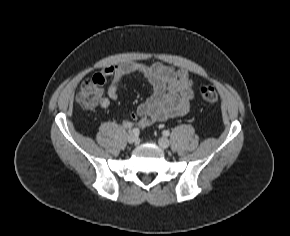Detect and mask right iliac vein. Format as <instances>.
I'll list each match as a JSON object with an SVG mask.
<instances>
[{"label": "right iliac vein", "instance_id": "obj_1", "mask_svg": "<svg viewBox=\"0 0 290 236\" xmlns=\"http://www.w3.org/2000/svg\"><path fill=\"white\" fill-rule=\"evenodd\" d=\"M127 140H128V142L130 143V144H137L138 143V137H137V135H135V134H133V133H130L129 135H128V138H127Z\"/></svg>", "mask_w": 290, "mask_h": 236}]
</instances>
